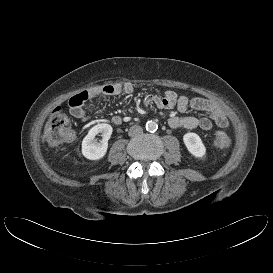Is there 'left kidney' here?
<instances>
[{"label":"left kidney","mask_w":273,"mask_h":273,"mask_svg":"<svg viewBox=\"0 0 273 273\" xmlns=\"http://www.w3.org/2000/svg\"><path fill=\"white\" fill-rule=\"evenodd\" d=\"M184 144L187 150L195 157H203L206 153V148L196 133H186L183 136Z\"/></svg>","instance_id":"obj_1"}]
</instances>
